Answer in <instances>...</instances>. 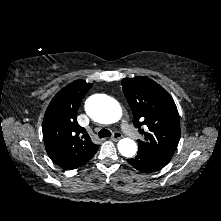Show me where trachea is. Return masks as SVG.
<instances>
[{
	"instance_id": "3493384b",
	"label": "trachea",
	"mask_w": 221,
	"mask_h": 221,
	"mask_svg": "<svg viewBox=\"0 0 221 221\" xmlns=\"http://www.w3.org/2000/svg\"><path fill=\"white\" fill-rule=\"evenodd\" d=\"M98 135H99V138L109 137L111 136V132L107 129H101Z\"/></svg>"
}]
</instances>
